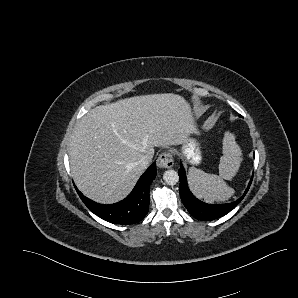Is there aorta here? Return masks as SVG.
Segmentation results:
<instances>
[{
    "mask_svg": "<svg viewBox=\"0 0 298 298\" xmlns=\"http://www.w3.org/2000/svg\"><path fill=\"white\" fill-rule=\"evenodd\" d=\"M163 180L168 185H176L179 182V174L174 169H168L163 173Z\"/></svg>",
    "mask_w": 298,
    "mask_h": 298,
    "instance_id": "1",
    "label": "aorta"
}]
</instances>
